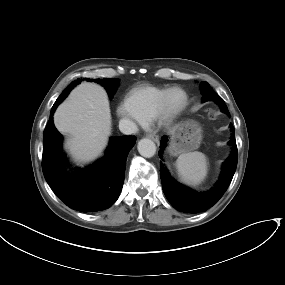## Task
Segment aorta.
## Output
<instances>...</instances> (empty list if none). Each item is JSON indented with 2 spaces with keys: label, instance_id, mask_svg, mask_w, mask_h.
Returning a JSON list of instances; mask_svg holds the SVG:
<instances>
[{
  "label": "aorta",
  "instance_id": "obj_1",
  "mask_svg": "<svg viewBox=\"0 0 285 285\" xmlns=\"http://www.w3.org/2000/svg\"><path fill=\"white\" fill-rule=\"evenodd\" d=\"M137 149L140 155L145 158H151L156 153L155 143L151 139H148V138L141 139L138 142Z\"/></svg>",
  "mask_w": 285,
  "mask_h": 285
}]
</instances>
